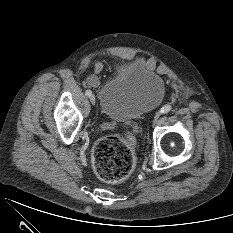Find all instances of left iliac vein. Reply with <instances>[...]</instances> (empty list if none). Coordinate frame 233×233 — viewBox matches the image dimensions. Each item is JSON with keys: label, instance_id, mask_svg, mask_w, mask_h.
Listing matches in <instances>:
<instances>
[{"label": "left iliac vein", "instance_id": "obj_1", "mask_svg": "<svg viewBox=\"0 0 233 233\" xmlns=\"http://www.w3.org/2000/svg\"><path fill=\"white\" fill-rule=\"evenodd\" d=\"M160 117V112H157L154 116L153 125H155Z\"/></svg>", "mask_w": 233, "mask_h": 233}]
</instances>
